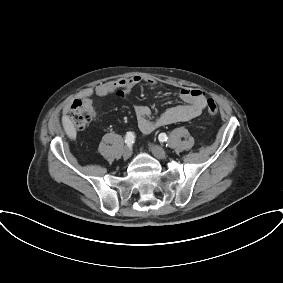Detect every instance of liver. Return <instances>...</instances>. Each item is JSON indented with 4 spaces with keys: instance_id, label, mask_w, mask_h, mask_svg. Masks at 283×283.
<instances>
[{
    "instance_id": "obj_1",
    "label": "liver",
    "mask_w": 283,
    "mask_h": 283,
    "mask_svg": "<svg viewBox=\"0 0 283 283\" xmlns=\"http://www.w3.org/2000/svg\"><path fill=\"white\" fill-rule=\"evenodd\" d=\"M62 124H63V127H64V130H65L66 134L71 139H75V137H76V129H75V126L72 123V121L67 116H63L62 117Z\"/></svg>"
}]
</instances>
